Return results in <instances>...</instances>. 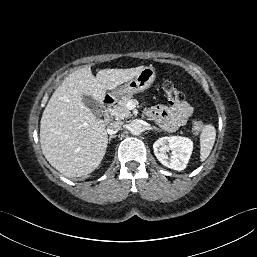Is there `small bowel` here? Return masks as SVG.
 I'll return each mask as SVG.
<instances>
[{
	"instance_id": "1",
	"label": "small bowel",
	"mask_w": 257,
	"mask_h": 257,
	"mask_svg": "<svg viewBox=\"0 0 257 257\" xmlns=\"http://www.w3.org/2000/svg\"><path fill=\"white\" fill-rule=\"evenodd\" d=\"M150 116L166 131L172 132L185 125L192 114V107L186 101L170 106L157 105L149 110Z\"/></svg>"
}]
</instances>
